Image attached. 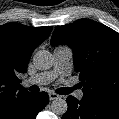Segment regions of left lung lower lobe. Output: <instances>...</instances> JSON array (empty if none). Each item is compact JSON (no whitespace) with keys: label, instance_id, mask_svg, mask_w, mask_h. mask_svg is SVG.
Listing matches in <instances>:
<instances>
[{"label":"left lung lower lobe","instance_id":"obj_1","mask_svg":"<svg viewBox=\"0 0 119 119\" xmlns=\"http://www.w3.org/2000/svg\"><path fill=\"white\" fill-rule=\"evenodd\" d=\"M68 110L62 119H119V105L83 96L81 100L67 97Z\"/></svg>","mask_w":119,"mask_h":119}]
</instances>
